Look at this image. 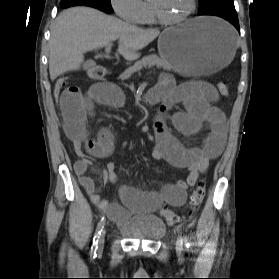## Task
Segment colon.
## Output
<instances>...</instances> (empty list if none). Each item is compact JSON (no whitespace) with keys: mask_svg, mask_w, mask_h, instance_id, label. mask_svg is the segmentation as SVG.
<instances>
[{"mask_svg":"<svg viewBox=\"0 0 279 279\" xmlns=\"http://www.w3.org/2000/svg\"><path fill=\"white\" fill-rule=\"evenodd\" d=\"M66 84H67V77H60L54 86V96L56 99H60L63 91L66 88ZM215 90L217 91V93H219L220 95H227L228 94V86L225 83H217L215 85ZM205 184L203 181H200L196 184V186L194 187L191 197H190V211H189V216L195 211L197 210V208L200 206V204L202 203L204 196H205ZM161 215L166 219V221L169 224H176L181 222L184 217L180 216L179 214H177L176 212L164 208L161 210Z\"/></svg>","mask_w":279,"mask_h":279,"instance_id":"1","label":"colon"}]
</instances>
